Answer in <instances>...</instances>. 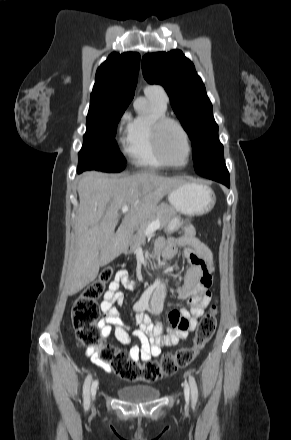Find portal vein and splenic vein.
Instances as JSON below:
<instances>
[{
  "label": "portal vein and splenic vein",
  "mask_w": 291,
  "mask_h": 440,
  "mask_svg": "<svg viewBox=\"0 0 291 440\" xmlns=\"http://www.w3.org/2000/svg\"><path fill=\"white\" fill-rule=\"evenodd\" d=\"M129 209H130V208H129L128 206H123V207H122V212H123V213H126V212L129 211ZM159 227H160V221H159V220H155V221L151 222V223L148 225V227H147V229H146V231H145V234H146V235L151 234V233H153L154 231H156L157 229H159Z\"/></svg>",
  "instance_id": "1"
}]
</instances>
